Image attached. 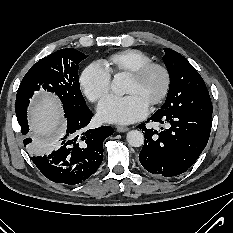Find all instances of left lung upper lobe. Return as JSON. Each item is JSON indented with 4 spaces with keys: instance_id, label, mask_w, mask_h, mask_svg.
<instances>
[{
    "instance_id": "obj_1",
    "label": "left lung upper lobe",
    "mask_w": 233,
    "mask_h": 233,
    "mask_svg": "<svg viewBox=\"0 0 233 233\" xmlns=\"http://www.w3.org/2000/svg\"><path fill=\"white\" fill-rule=\"evenodd\" d=\"M163 61L170 76L167 98L159 110L187 111L212 118V103L204 80L178 52L165 48Z\"/></svg>"
}]
</instances>
